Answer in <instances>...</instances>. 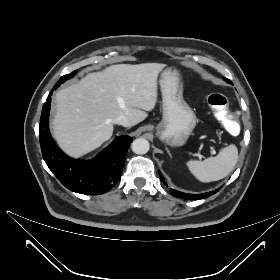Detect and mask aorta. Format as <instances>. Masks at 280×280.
Instances as JSON below:
<instances>
[{"label":"aorta","mask_w":280,"mask_h":280,"mask_svg":"<svg viewBox=\"0 0 280 280\" xmlns=\"http://www.w3.org/2000/svg\"><path fill=\"white\" fill-rule=\"evenodd\" d=\"M132 151L135 154H146L149 151V142L144 138L135 139L131 144Z\"/></svg>","instance_id":"aorta-1"}]
</instances>
